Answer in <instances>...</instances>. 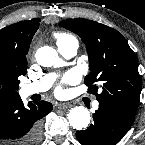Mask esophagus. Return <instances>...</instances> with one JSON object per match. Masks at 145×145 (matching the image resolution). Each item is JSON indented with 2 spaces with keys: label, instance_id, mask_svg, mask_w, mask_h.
I'll list each match as a JSON object with an SVG mask.
<instances>
[{
  "label": "esophagus",
  "instance_id": "esophagus-1",
  "mask_svg": "<svg viewBox=\"0 0 145 145\" xmlns=\"http://www.w3.org/2000/svg\"><path fill=\"white\" fill-rule=\"evenodd\" d=\"M57 107H58L59 109L65 110V109H67V108H70V107H71V104H70L69 102H63V103H59V104L57 105Z\"/></svg>",
  "mask_w": 145,
  "mask_h": 145
}]
</instances>
